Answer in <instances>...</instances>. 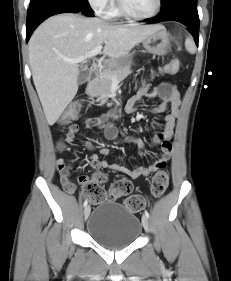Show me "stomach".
I'll return each mask as SVG.
<instances>
[{
    "label": "stomach",
    "mask_w": 231,
    "mask_h": 281,
    "mask_svg": "<svg viewBox=\"0 0 231 281\" xmlns=\"http://www.w3.org/2000/svg\"><path fill=\"white\" fill-rule=\"evenodd\" d=\"M143 47L147 52L164 55L171 47V38L165 28L159 29L155 33L149 35L142 41ZM131 62V56L128 55L113 64V68L127 65Z\"/></svg>",
    "instance_id": "0dacf381"
}]
</instances>
